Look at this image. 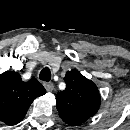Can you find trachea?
<instances>
[{
	"label": "trachea",
	"mask_w": 130,
	"mask_h": 130,
	"mask_svg": "<svg viewBox=\"0 0 130 130\" xmlns=\"http://www.w3.org/2000/svg\"><path fill=\"white\" fill-rule=\"evenodd\" d=\"M39 78L42 81H50L51 79V71L48 67H45L44 69L41 70L40 74H39Z\"/></svg>",
	"instance_id": "obj_1"
}]
</instances>
